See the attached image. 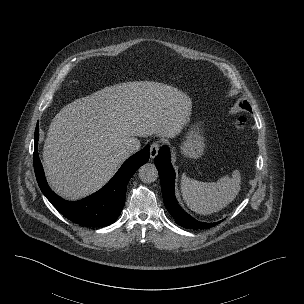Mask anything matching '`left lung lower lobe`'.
I'll return each instance as SVG.
<instances>
[{
  "instance_id": "obj_1",
  "label": "left lung lower lobe",
  "mask_w": 304,
  "mask_h": 304,
  "mask_svg": "<svg viewBox=\"0 0 304 304\" xmlns=\"http://www.w3.org/2000/svg\"><path fill=\"white\" fill-rule=\"evenodd\" d=\"M154 163L158 169L164 204L168 212L175 218L180 226L187 229H207L216 223L200 222L182 210L174 195L175 172L170 162V151L167 146H162L155 157Z\"/></svg>"
}]
</instances>
